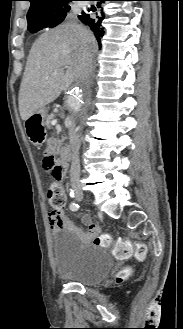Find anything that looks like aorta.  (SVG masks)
<instances>
[{"mask_svg":"<svg viewBox=\"0 0 183 329\" xmlns=\"http://www.w3.org/2000/svg\"><path fill=\"white\" fill-rule=\"evenodd\" d=\"M82 90L80 87H74L70 90L67 97V105L74 112L79 111L82 104Z\"/></svg>","mask_w":183,"mask_h":329,"instance_id":"762f6f07","label":"aorta"}]
</instances>
